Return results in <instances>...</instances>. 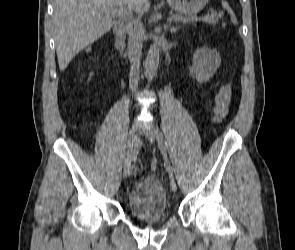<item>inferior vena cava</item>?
Instances as JSON below:
<instances>
[{"mask_svg": "<svg viewBox=\"0 0 295 250\" xmlns=\"http://www.w3.org/2000/svg\"><path fill=\"white\" fill-rule=\"evenodd\" d=\"M128 32V57L131 64L129 85L132 91H136L139 82V64L144 35V27L139 17L130 18Z\"/></svg>", "mask_w": 295, "mask_h": 250, "instance_id": "602c4592", "label": "inferior vena cava"}]
</instances>
